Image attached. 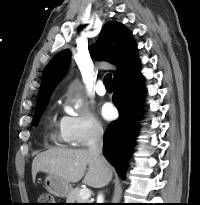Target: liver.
I'll return each mask as SVG.
<instances>
[{"mask_svg":"<svg viewBox=\"0 0 200 205\" xmlns=\"http://www.w3.org/2000/svg\"><path fill=\"white\" fill-rule=\"evenodd\" d=\"M40 171L61 177L68 183H77L84 177L82 182L93 188L105 186L113 176L107 160L91 155L87 149L52 148L42 152L32 162L33 180Z\"/></svg>","mask_w":200,"mask_h":205,"instance_id":"1","label":"liver"}]
</instances>
